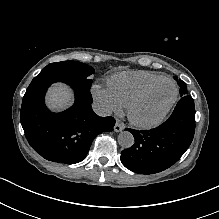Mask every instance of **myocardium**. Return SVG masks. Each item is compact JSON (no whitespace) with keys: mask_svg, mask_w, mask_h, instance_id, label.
I'll return each mask as SVG.
<instances>
[{"mask_svg":"<svg viewBox=\"0 0 219 219\" xmlns=\"http://www.w3.org/2000/svg\"><path fill=\"white\" fill-rule=\"evenodd\" d=\"M163 81L171 82L174 86V95L171 98V100L162 108V110L157 114L156 117L152 119H141L138 118L135 115V110L141 105V103L147 98V96L151 93V91L160 83ZM178 97V87L176 83L170 79V78H160L153 83H151L149 86H147L144 90H142L138 95H136L133 100L129 103L127 107V117L129 121L139 127L144 128H151L163 121V119L166 117L174 103L176 102Z\"/></svg>","mask_w":219,"mask_h":219,"instance_id":"obj_1","label":"myocardium"}]
</instances>
